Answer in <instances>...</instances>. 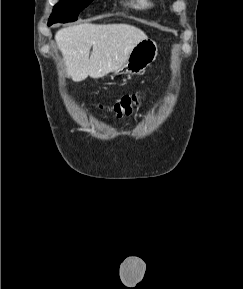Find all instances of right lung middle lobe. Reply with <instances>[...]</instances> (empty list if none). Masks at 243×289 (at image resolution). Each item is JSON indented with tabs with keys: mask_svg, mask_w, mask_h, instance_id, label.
<instances>
[{
	"mask_svg": "<svg viewBox=\"0 0 243 289\" xmlns=\"http://www.w3.org/2000/svg\"><path fill=\"white\" fill-rule=\"evenodd\" d=\"M93 0H60L54 6L53 13L49 18V24L65 23L77 20L81 10L87 7Z\"/></svg>",
	"mask_w": 243,
	"mask_h": 289,
	"instance_id": "dd1d6c3e",
	"label": "right lung middle lobe"
}]
</instances>
